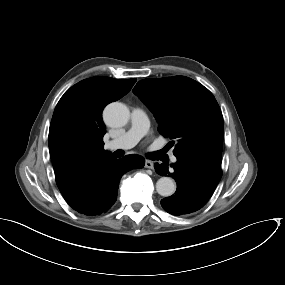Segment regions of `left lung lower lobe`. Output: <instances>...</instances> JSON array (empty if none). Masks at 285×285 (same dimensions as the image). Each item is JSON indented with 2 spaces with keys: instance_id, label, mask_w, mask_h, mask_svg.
Masks as SVG:
<instances>
[{
  "instance_id": "left-lung-lower-lobe-1",
  "label": "left lung lower lobe",
  "mask_w": 285,
  "mask_h": 285,
  "mask_svg": "<svg viewBox=\"0 0 285 285\" xmlns=\"http://www.w3.org/2000/svg\"><path fill=\"white\" fill-rule=\"evenodd\" d=\"M168 168V162L155 164L161 176L170 175L177 181L176 193L161 200L165 211L172 215H188L201 209L212 196L219 183L221 163L199 157H176Z\"/></svg>"
}]
</instances>
